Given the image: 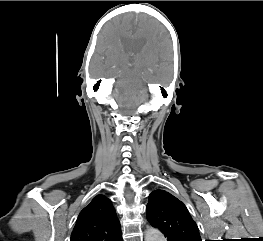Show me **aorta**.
Returning a JSON list of instances; mask_svg holds the SVG:
<instances>
[{
  "mask_svg": "<svg viewBox=\"0 0 263 241\" xmlns=\"http://www.w3.org/2000/svg\"><path fill=\"white\" fill-rule=\"evenodd\" d=\"M145 241H166L164 236L154 228H148L145 233Z\"/></svg>",
  "mask_w": 263,
  "mask_h": 241,
  "instance_id": "obj_1",
  "label": "aorta"
}]
</instances>
